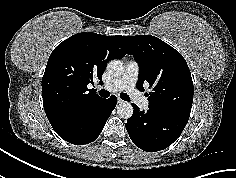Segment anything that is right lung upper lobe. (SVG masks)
I'll use <instances>...</instances> for the list:
<instances>
[{"label":"right lung upper lobe","mask_w":236,"mask_h":178,"mask_svg":"<svg viewBox=\"0 0 236 178\" xmlns=\"http://www.w3.org/2000/svg\"><path fill=\"white\" fill-rule=\"evenodd\" d=\"M130 53L121 35L78 33L60 43L51 53L42 78V98L46 116L56 127L76 119L103 98L87 84L101 80L107 63Z\"/></svg>","instance_id":"obj_1"}]
</instances>
